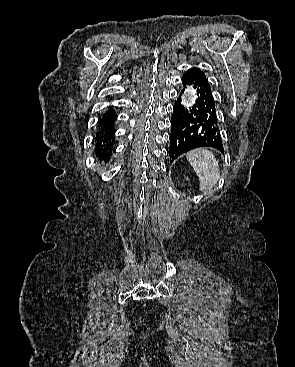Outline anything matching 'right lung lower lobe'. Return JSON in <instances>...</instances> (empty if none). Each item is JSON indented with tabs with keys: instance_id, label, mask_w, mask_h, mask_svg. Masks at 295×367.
<instances>
[{
	"instance_id": "98d812e1",
	"label": "right lung lower lobe",
	"mask_w": 295,
	"mask_h": 367,
	"mask_svg": "<svg viewBox=\"0 0 295 367\" xmlns=\"http://www.w3.org/2000/svg\"><path fill=\"white\" fill-rule=\"evenodd\" d=\"M116 119L117 115L113 108H110L100 119L95 142L96 156L105 159L112 153L115 134L114 122Z\"/></svg>"
}]
</instances>
